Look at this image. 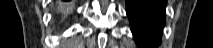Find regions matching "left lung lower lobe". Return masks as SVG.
Segmentation results:
<instances>
[{"label":"left lung lower lobe","instance_id":"0a47b994","mask_svg":"<svg viewBox=\"0 0 213 48\" xmlns=\"http://www.w3.org/2000/svg\"><path fill=\"white\" fill-rule=\"evenodd\" d=\"M166 0H126L131 31L139 48H156L165 25Z\"/></svg>","mask_w":213,"mask_h":48}]
</instances>
